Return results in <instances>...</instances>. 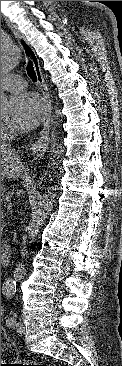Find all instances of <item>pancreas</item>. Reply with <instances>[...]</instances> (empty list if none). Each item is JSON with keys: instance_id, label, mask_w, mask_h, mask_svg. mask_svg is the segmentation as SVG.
Returning a JSON list of instances; mask_svg holds the SVG:
<instances>
[{"instance_id": "pancreas-1", "label": "pancreas", "mask_w": 122, "mask_h": 366, "mask_svg": "<svg viewBox=\"0 0 122 366\" xmlns=\"http://www.w3.org/2000/svg\"><path fill=\"white\" fill-rule=\"evenodd\" d=\"M6 193V187L4 185H1V196L4 197ZM3 226H1V232H2Z\"/></svg>"}]
</instances>
